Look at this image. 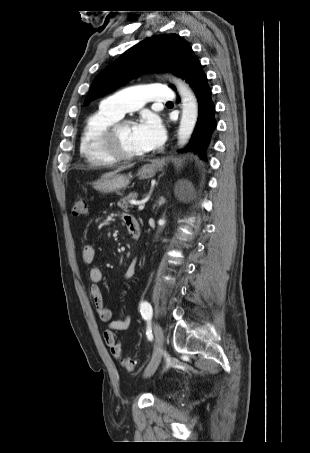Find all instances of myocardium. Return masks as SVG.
<instances>
[{
	"mask_svg": "<svg viewBox=\"0 0 310 453\" xmlns=\"http://www.w3.org/2000/svg\"><path fill=\"white\" fill-rule=\"evenodd\" d=\"M133 122L130 119H119L110 125L102 135L101 143L104 151L112 158L119 162H130L139 160L145 157V153L142 154H128L123 151L120 141L119 132L128 124Z\"/></svg>",
	"mask_w": 310,
	"mask_h": 453,
	"instance_id": "myocardium-1",
	"label": "myocardium"
}]
</instances>
